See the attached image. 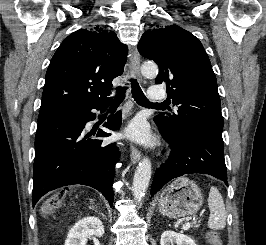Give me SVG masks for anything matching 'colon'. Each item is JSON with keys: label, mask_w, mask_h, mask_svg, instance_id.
Masks as SVG:
<instances>
[{"label": "colon", "mask_w": 266, "mask_h": 245, "mask_svg": "<svg viewBox=\"0 0 266 245\" xmlns=\"http://www.w3.org/2000/svg\"><path fill=\"white\" fill-rule=\"evenodd\" d=\"M62 202V197L51 198L48 200L44 207V212H51L55 210ZM210 245H222V241L215 233H209L207 235Z\"/></svg>", "instance_id": "obj_1"}]
</instances>
